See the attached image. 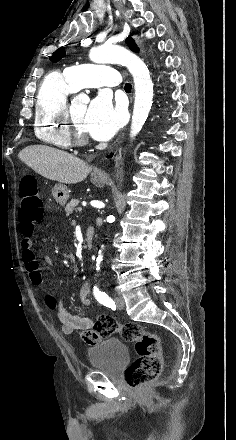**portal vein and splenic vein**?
Instances as JSON below:
<instances>
[{"mask_svg": "<svg viewBox=\"0 0 236 440\" xmlns=\"http://www.w3.org/2000/svg\"><path fill=\"white\" fill-rule=\"evenodd\" d=\"M78 211H79V212H81V211H82V208H81V207H79V208H78Z\"/></svg>", "mask_w": 236, "mask_h": 440, "instance_id": "18ae733b", "label": "portal vein and splenic vein"}]
</instances>
